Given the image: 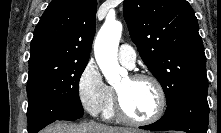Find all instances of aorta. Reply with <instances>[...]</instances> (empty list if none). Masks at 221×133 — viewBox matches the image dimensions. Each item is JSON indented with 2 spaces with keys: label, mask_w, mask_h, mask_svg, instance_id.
<instances>
[{
  "label": "aorta",
  "mask_w": 221,
  "mask_h": 133,
  "mask_svg": "<svg viewBox=\"0 0 221 133\" xmlns=\"http://www.w3.org/2000/svg\"><path fill=\"white\" fill-rule=\"evenodd\" d=\"M121 34V22L106 20L95 39V59L109 84L120 81L121 76L127 73L126 70L118 64L117 60Z\"/></svg>",
  "instance_id": "aorta-1"
}]
</instances>
